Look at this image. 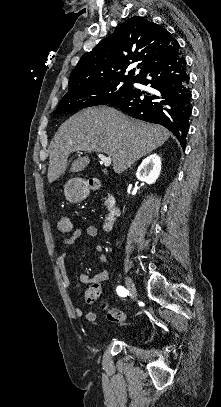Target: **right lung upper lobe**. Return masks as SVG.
<instances>
[{
    "label": "right lung upper lobe",
    "mask_w": 221,
    "mask_h": 407,
    "mask_svg": "<svg viewBox=\"0 0 221 407\" xmlns=\"http://www.w3.org/2000/svg\"><path fill=\"white\" fill-rule=\"evenodd\" d=\"M177 45L160 25L132 17L81 57L70 75L68 92L106 82H134ZM131 65L135 67L124 75Z\"/></svg>",
    "instance_id": "obj_1"
}]
</instances>
